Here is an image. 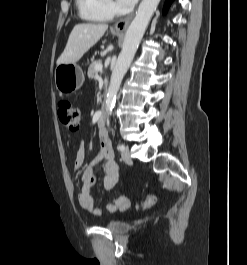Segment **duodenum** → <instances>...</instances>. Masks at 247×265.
<instances>
[{
    "label": "duodenum",
    "instance_id": "duodenum-1",
    "mask_svg": "<svg viewBox=\"0 0 247 265\" xmlns=\"http://www.w3.org/2000/svg\"><path fill=\"white\" fill-rule=\"evenodd\" d=\"M105 121H106V115L104 111H101L98 115V120L97 123L100 127H103L105 125Z\"/></svg>",
    "mask_w": 247,
    "mask_h": 265
}]
</instances>
